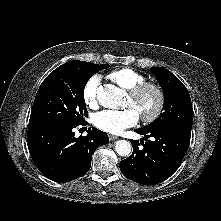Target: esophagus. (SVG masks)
Returning <instances> with one entry per match:
<instances>
[{"mask_svg": "<svg viewBox=\"0 0 221 221\" xmlns=\"http://www.w3.org/2000/svg\"><path fill=\"white\" fill-rule=\"evenodd\" d=\"M119 137L118 136H116V135H109V139L111 140V141H113V140H117Z\"/></svg>", "mask_w": 221, "mask_h": 221, "instance_id": "34e87169", "label": "esophagus"}]
</instances>
